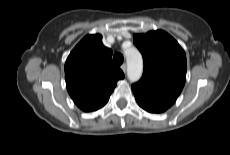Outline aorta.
Here are the masks:
<instances>
[{
  "mask_svg": "<svg viewBox=\"0 0 230 155\" xmlns=\"http://www.w3.org/2000/svg\"><path fill=\"white\" fill-rule=\"evenodd\" d=\"M127 61V75L131 82L138 81L143 72V60L140 52L135 48L125 51Z\"/></svg>",
  "mask_w": 230,
  "mask_h": 155,
  "instance_id": "1",
  "label": "aorta"
}]
</instances>
